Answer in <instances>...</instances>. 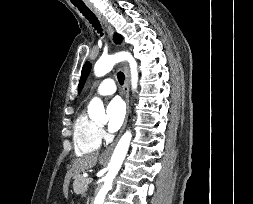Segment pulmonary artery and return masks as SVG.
Returning <instances> with one entry per match:
<instances>
[{"label": "pulmonary artery", "mask_w": 253, "mask_h": 204, "mask_svg": "<svg viewBox=\"0 0 253 204\" xmlns=\"http://www.w3.org/2000/svg\"><path fill=\"white\" fill-rule=\"evenodd\" d=\"M116 92V83L112 78L104 79L96 88L95 94L98 96H108Z\"/></svg>", "instance_id": "pulmonary-artery-1"}]
</instances>
